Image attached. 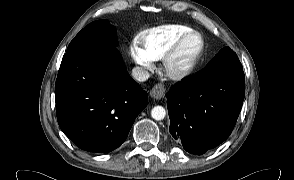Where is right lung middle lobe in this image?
<instances>
[{
  "label": "right lung middle lobe",
  "mask_w": 294,
  "mask_h": 180,
  "mask_svg": "<svg viewBox=\"0 0 294 180\" xmlns=\"http://www.w3.org/2000/svg\"><path fill=\"white\" fill-rule=\"evenodd\" d=\"M117 44L116 29L107 20L92 22L71 41L62 61L79 54L113 49Z\"/></svg>",
  "instance_id": "1"
}]
</instances>
